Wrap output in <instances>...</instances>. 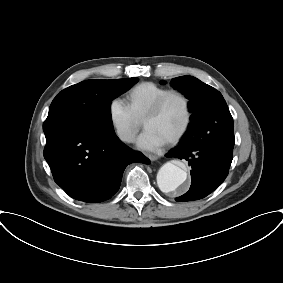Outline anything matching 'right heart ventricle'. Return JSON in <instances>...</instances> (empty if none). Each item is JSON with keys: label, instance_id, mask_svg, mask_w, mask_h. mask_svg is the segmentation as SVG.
I'll list each match as a JSON object with an SVG mask.
<instances>
[{"label": "right heart ventricle", "instance_id": "1", "mask_svg": "<svg viewBox=\"0 0 283 283\" xmlns=\"http://www.w3.org/2000/svg\"><path fill=\"white\" fill-rule=\"evenodd\" d=\"M168 90V87L154 82H142L128 91L127 104L134 116L142 120L156 100Z\"/></svg>", "mask_w": 283, "mask_h": 283}]
</instances>
